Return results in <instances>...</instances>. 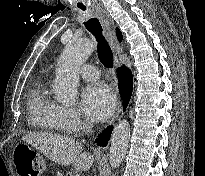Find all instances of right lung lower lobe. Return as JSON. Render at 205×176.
<instances>
[{"instance_id": "right-lung-lower-lobe-1", "label": "right lung lower lobe", "mask_w": 205, "mask_h": 176, "mask_svg": "<svg viewBox=\"0 0 205 176\" xmlns=\"http://www.w3.org/2000/svg\"><path fill=\"white\" fill-rule=\"evenodd\" d=\"M119 75V88L121 96L124 100V110L126 109L128 102L132 95V83L133 77L131 71L124 67L118 70ZM113 126H109L105 129L99 138L96 139V142L99 146H106L110 138Z\"/></svg>"}]
</instances>
